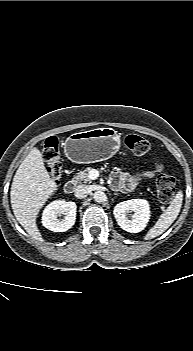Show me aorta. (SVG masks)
<instances>
[{
    "instance_id": "aorta-1",
    "label": "aorta",
    "mask_w": 193,
    "mask_h": 351,
    "mask_svg": "<svg viewBox=\"0 0 193 351\" xmlns=\"http://www.w3.org/2000/svg\"><path fill=\"white\" fill-rule=\"evenodd\" d=\"M93 198L96 202L101 203L106 201V194L103 191H96L93 194Z\"/></svg>"
}]
</instances>
